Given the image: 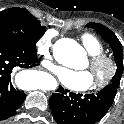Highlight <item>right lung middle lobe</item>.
<instances>
[{
    "mask_svg": "<svg viewBox=\"0 0 124 124\" xmlns=\"http://www.w3.org/2000/svg\"><path fill=\"white\" fill-rule=\"evenodd\" d=\"M46 27L41 26L24 8H10L0 12V41L21 44L36 51V43L43 36Z\"/></svg>",
    "mask_w": 124,
    "mask_h": 124,
    "instance_id": "right-lung-middle-lobe-1",
    "label": "right lung middle lobe"
}]
</instances>
